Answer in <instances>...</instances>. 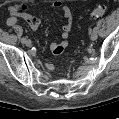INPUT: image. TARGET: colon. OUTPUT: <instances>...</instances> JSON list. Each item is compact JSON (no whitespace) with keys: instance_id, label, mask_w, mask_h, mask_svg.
Returning a JSON list of instances; mask_svg holds the SVG:
<instances>
[{"instance_id":"colon-1","label":"colon","mask_w":119,"mask_h":119,"mask_svg":"<svg viewBox=\"0 0 119 119\" xmlns=\"http://www.w3.org/2000/svg\"><path fill=\"white\" fill-rule=\"evenodd\" d=\"M107 8L104 5H98L91 13V16L95 20H100L106 14Z\"/></svg>"}]
</instances>
